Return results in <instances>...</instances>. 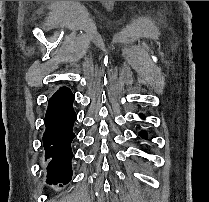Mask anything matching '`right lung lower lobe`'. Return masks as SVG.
<instances>
[{
  "label": "right lung lower lobe",
  "mask_w": 209,
  "mask_h": 202,
  "mask_svg": "<svg viewBox=\"0 0 209 202\" xmlns=\"http://www.w3.org/2000/svg\"><path fill=\"white\" fill-rule=\"evenodd\" d=\"M73 101L74 95L66 87L59 89L48 101L43 135L48 184H65L71 180L73 154L70 144L75 138L73 124L77 119Z\"/></svg>",
  "instance_id": "right-lung-lower-lobe-1"
}]
</instances>
